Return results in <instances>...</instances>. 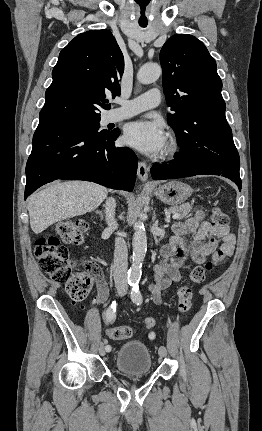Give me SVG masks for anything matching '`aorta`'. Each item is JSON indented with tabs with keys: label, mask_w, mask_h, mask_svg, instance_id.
I'll return each instance as SVG.
<instances>
[{
	"label": "aorta",
	"mask_w": 262,
	"mask_h": 431,
	"mask_svg": "<svg viewBox=\"0 0 262 431\" xmlns=\"http://www.w3.org/2000/svg\"><path fill=\"white\" fill-rule=\"evenodd\" d=\"M161 75V67L158 64H145L138 73L137 79L142 84L155 82ZM132 263L128 272V279L132 284H137L141 278L142 265L147 251L146 229L142 220L134 224Z\"/></svg>",
	"instance_id": "aorta-1"
}]
</instances>
